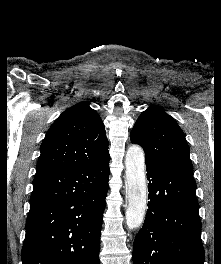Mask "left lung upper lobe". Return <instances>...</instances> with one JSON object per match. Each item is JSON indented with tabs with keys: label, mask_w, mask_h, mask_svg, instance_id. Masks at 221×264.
Here are the masks:
<instances>
[{
	"label": "left lung upper lobe",
	"mask_w": 221,
	"mask_h": 264,
	"mask_svg": "<svg viewBox=\"0 0 221 264\" xmlns=\"http://www.w3.org/2000/svg\"><path fill=\"white\" fill-rule=\"evenodd\" d=\"M145 151L146 164L193 176L189 146L176 121L164 110L151 106L137 119L130 135Z\"/></svg>",
	"instance_id": "left-lung-upper-lobe-1"
}]
</instances>
